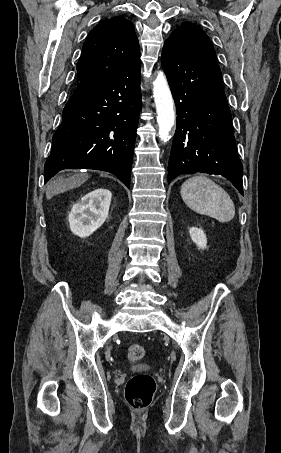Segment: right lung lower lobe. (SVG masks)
Returning <instances> with one entry per match:
<instances>
[{
  "instance_id": "obj_1",
  "label": "right lung lower lobe",
  "mask_w": 281,
  "mask_h": 453,
  "mask_svg": "<svg viewBox=\"0 0 281 453\" xmlns=\"http://www.w3.org/2000/svg\"><path fill=\"white\" fill-rule=\"evenodd\" d=\"M141 107L140 56L110 79L78 82L53 136L44 183L63 169H96L130 188Z\"/></svg>"
}]
</instances>
